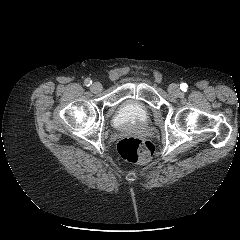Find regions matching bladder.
Wrapping results in <instances>:
<instances>
[{
	"label": "bladder",
	"mask_w": 240,
	"mask_h": 240,
	"mask_svg": "<svg viewBox=\"0 0 240 240\" xmlns=\"http://www.w3.org/2000/svg\"><path fill=\"white\" fill-rule=\"evenodd\" d=\"M150 118L149 110L136 101L123 103L113 117L117 127L140 126L146 124Z\"/></svg>",
	"instance_id": "bladder-1"
}]
</instances>
